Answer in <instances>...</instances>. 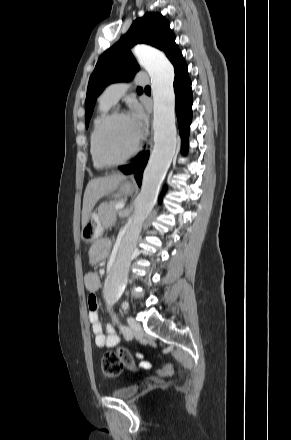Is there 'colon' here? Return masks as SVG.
<instances>
[{"mask_svg": "<svg viewBox=\"0 0 291 440\" xmlns=\"http://www.w3.org/2000/svg\"><path fill=\"white\" fill-rule=\"evenodd\" d=\"M123 366L130 369L136 367L135 361L126 349H119L116 352H107L101 363V371L105 377H115L120 374ZM174 371V365L167 363L162 372L164 374H171Z\"/></svg>", "mask_w": 291, "mask_h": 440, "instance_id": "1", "label": "colon"}]
</instances>
